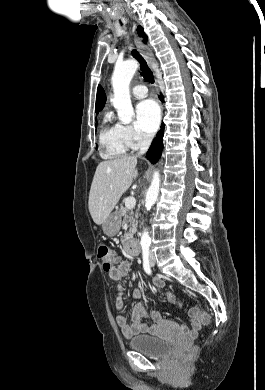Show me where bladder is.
Instances as JSON below:
<instances>
[{
  "mask_svg": "<svg viewBox=\"0 0 265 390\" xmlns=\"http://www.w3.org/2000/svg\"><path fill=\"white\" fill-rule=\"evenodd\" d=\"M128 345L135 351L151 358H162L172 350V344L160 337L138 335L128 341Z\"/></svg>",
  "mask_w": 265,
  "mask_h": 390,
  "instance_id": "31cf9c89",
  "label": "bladder"
}]
</instances>
